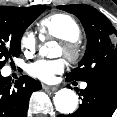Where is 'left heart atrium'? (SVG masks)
Instances as JSON below:
<instances>
[{"mask_svg":"<svg viewBox=\"0 0 117 117\" xmlns=\"http://www.w3.org/2000/svg\"><path fill=\"white\" fill-rule=\"evenodd\" d=\"M66 61L59 59H40L28 66V74L45 83H52L56 76L63 73Z\"/></svg>","mask_w":117,"mask_h":117,"instance_id":"1","label":"left heart atrium"}]
</instances>
